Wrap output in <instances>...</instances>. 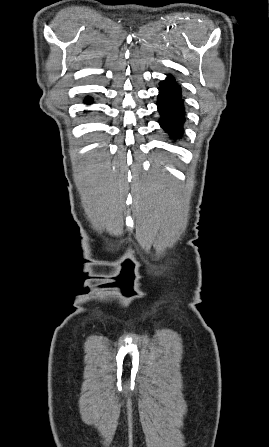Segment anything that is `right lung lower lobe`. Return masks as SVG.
<instances>
[{
  "mask_svg": "<svg viewBox=\"0 0 269 447\" xmlns=\"http://www.w3.org/2000/svg\"><path fill=\"white\" fill-rule=\"evenodd\" d=\"M86 102H87V103H91V102H92V99H91V98H87V99H86Z\"/></svg>",
  "mask_w": 269,
  "mask_h": 447,
  "instance_id": "right-lung-lower-lobe-1",
  "label": "right lung lower lobe"
}]
</instances>
